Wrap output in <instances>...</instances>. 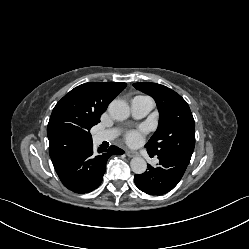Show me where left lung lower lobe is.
<instances>
[{
  "label": "left lung lower lobe",
  "instance_id": "1",
  "mask_svg": "<svg viewBox=\"0 0 249 249\" xmlns=\"http://www.w3.org/2000/svg\"><path fill=\"white\" fill-rule=\"evenodd\" d=\"M150 156L155 155L148 151ZM159 164L157 167L148 165V171L135 175L136 186L150 195H162L172 190L181 180L188 164L182 158L157 154Z\"/></svg>",
  "mask_w": 249,
  "mask_h": 249
}]
</instances>
